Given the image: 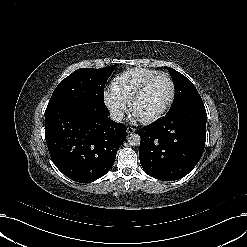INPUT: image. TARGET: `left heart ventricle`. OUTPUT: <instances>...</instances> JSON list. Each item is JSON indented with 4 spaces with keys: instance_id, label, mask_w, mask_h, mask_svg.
<instances>
[{
    "instance_id": "left-heart-ventricle-1",
    "label": "left heart ventricle",
    "mask_w": 247,
    "mask_h": 247,
    "mask_svg": "<svg viewBox=\"0 0 247 247\" xmlns=\"http://www.w3.org/2000/svg\"><path fill=\"white\" fill-rule=\"evenodd\" d=\"M169 94V83L165 77L156 79L135 104L136 114L146 117L156 113L164 105Z\"/></svg>"
}]
</instances>
